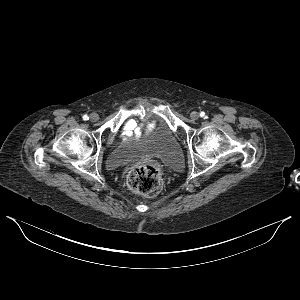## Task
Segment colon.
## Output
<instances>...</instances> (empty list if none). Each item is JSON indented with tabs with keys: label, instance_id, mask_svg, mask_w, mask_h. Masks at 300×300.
Returning a JSON list of instances; mask_svg holds the SVG:
<instances>
[{
	"label": "colon",
	"instance_id": "obj_1",
	"mask_svg": "<svg viewBox=\"0 0 300 300\" xmlns=\"http://www.w3.org/2000/svg\"><path fill=\"white\" fill-rule=\"evenodd\" d=\"M127 184L136 193L155 196L162 189L161 171L153 163L134 165L127 173Z\"/></svg>",
	"mask_w": 300,
	"mask_h": 300
}]
</instances>
